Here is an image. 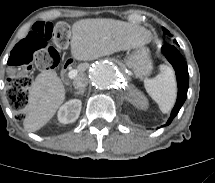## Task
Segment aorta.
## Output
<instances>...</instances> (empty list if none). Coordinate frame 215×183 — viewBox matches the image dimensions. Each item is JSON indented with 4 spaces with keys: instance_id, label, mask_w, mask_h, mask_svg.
Here are the masks:
<instances>
[{
    "instance_id": "aorta-1",
    "label": "aorta",
    "mask_w": 215,
    "mask_h": 183,
    "mask_svg": "<svg viewBox=\"0 0 215 183\" xmlns=\"http://www.w3.org/2000/svg\"><path fill=\"white\" fill-rule=\"evenodd\" d=\"M118 79L119 69L111 62H98L89 71V81L99 90L115 89Z\"/></svg>"
}]
</instances>
